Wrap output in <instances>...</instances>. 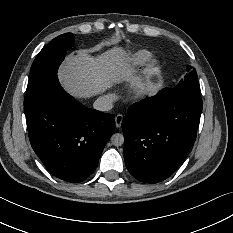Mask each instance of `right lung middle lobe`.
I'll list each match as a JSON object with an SVG mask.
<instances>
[{"instance_id":"right-lung-middle-lobe-1","label":"right lung middle lobe","mask_w":233,"mask_h":233,"mask_svg":"<svg viewBox=\"0 0 233 233\" xmlns=\"http://www.w3.org/2000/svg\"><path fill=\"white\" fill-rule=\"evenodd\" d=\"M73 44L71 33L62 34L38 53L30 69L25 104L36 99L57 80L58 67Z\"/></svg>"}]
</instances>
